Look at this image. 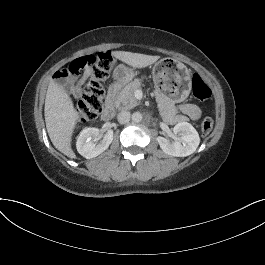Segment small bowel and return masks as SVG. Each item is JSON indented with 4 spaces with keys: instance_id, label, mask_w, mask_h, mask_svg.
Returning <instances> with one entry per match:
<instances>
[{
    "instance_id": "small-bowel-1",
    "label": "small bowel",
    "mask_w": 265,
    "mask_h": 265,
    "mask_svg": "<svg viewBox=\"0 0 265 265\" xmlns=\"http://www.w3.org/2000/svg\"><path fill=\"white\" fill-rule=\"evenodd\" d=\"M91 76L90 70H85L82 75L75 81L72 87V93L75 97L80 96L82 87L86 80ZM180 110L192 120H198L201 117V109L192 103L182 104Z\"/></svg>"
}]
</instances>
